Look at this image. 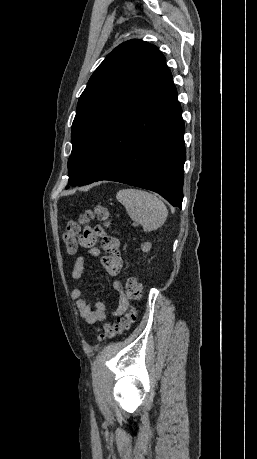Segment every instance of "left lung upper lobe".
I'll return each mask as SVG.
<instances>
[{
  "instance_id": "1",
  "label": "left lung upper lobe",
  "mask_w": 257,
  "mask_h": 459,
  "mask_svg": "<svg viewBox=\"0 0 257 459\" xmlns=\"http://www.w3.org/2000/svg\"><path fill=\"white\" fill-rule=\"evenodd\" d=\"M164 63L156 46L132 39L98 66L79 98L72 124L68 184L86 185L99 175L116 126Z\"/></svg>"
}]
</instances>
